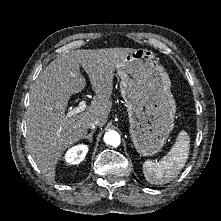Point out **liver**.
<instances>
[{
    "mask_svg": "<svg viewBox=\"0 0 221 221\" xmlns=\"http://www.w3.org/2000/svg\"><path fill=\"white\" fill-rule=\"evenodd\" d=\"M133 48L80 49L67 51L53 60L30 90L26 112L27 145L42 174L54 182L56 165L63 152L87 134L95 119L105 125L112 108L114 72ZM89 76L95 96L87 109L70 117L65 114L72 94L81 92Z\"/></svg>",
    "mask_w": 221,
    "mask_h": 221,
    "instance_id": "liver-1",
    "label": "liver"
}]
</instances>
